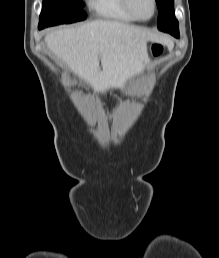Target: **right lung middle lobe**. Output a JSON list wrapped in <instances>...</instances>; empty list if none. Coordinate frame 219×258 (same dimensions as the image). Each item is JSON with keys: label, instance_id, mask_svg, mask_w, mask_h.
<instances>
[{"label": "right lung middle lobe", "instance_id": "1", "mask_svg": "<svg viewBox=\"0 0 219 258\" xmlns=\"http://www.w3.org/2000/svg\"><path fill=\"white\" fill-rule=\"evenodd\" d=\"M83 6L82 0H43L38 27L82 21L87 17Z\"/></svg>", "mask_w": 219, "mask_h": 258}]
</instances>
